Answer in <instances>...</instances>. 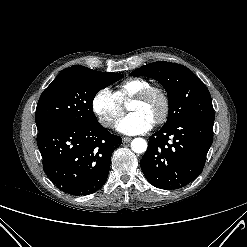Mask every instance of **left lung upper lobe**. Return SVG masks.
Listing matches in <instances>:
<instances>
[{"instance_id": "5c2ea615", "label": "left lung upper lobe", "mask_w": 247, "mask_h": 247, "mask_svg": "<svg viewBox=\"0 0 247 247\" xmlns=\"http://www.w3.org/2000/svg\"><path fill=\"white\" fill-rule=\"evenodd\" d=\"M148 76L160 82L169 100V116L165 126L184 119H197L213 124L215 113L210 93L204 83L187 67L169 62H154L131 73Z\"/></svg>"}]
</instances>
